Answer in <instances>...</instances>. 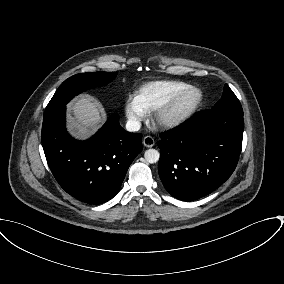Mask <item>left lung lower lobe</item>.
I'll use <instances>...</instances> for the list:
<instances>
[{"instance_id": "left-lung-lower-lobe-1", "label": "left lung lower lobe", "mask_w": 284, "mask_h": 284, "mask_svg": "<svg viewBox=\"0 0 284 284\" xmlns=\"http://www.w3.org/2000/svg\"><path fill=\"white\" fill-rule=\"evenodd\" d=\"M243 130V112L212 108L160 134L158 171L165 189L184 201L216 190L237 165Z\"/></svg>"}]
</instances>
